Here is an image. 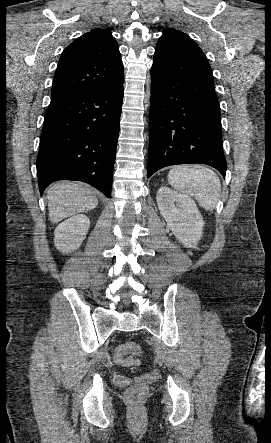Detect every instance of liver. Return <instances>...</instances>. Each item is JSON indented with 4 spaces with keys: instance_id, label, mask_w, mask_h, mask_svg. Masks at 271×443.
I'll return each mask as SVG.
<instances>
[{
    "instance_id": "obj_1",
    "label": "liver",
    "mask_w": 271,
    "mask_h": 443,
    "mask_svg": "<svg viewBox=\"0 0 271 443\" xmlns=\"http://www.w3.org/2000/svg\"><path fill=\"white\" fill-rule=\"evenodd\" d=\"M48 212L52 223L87 212L98 206V200L89 188L72 182H57L47 192Z\"/></svg>"
}]
</instances>
